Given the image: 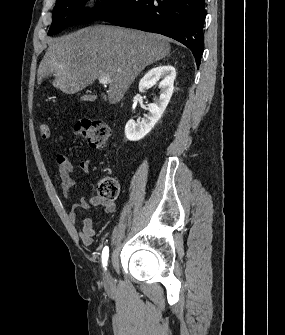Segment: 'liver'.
I'll return each mask as SVG.
<instances>
[{
	"label": "liver",
	"mask_w": 285,
	"mask_h": 335,
	"mask_svg": "<svg viewBox=\"0 0 285 335\" xmlns=\"http://www.w3.org/2000/svg\"><path fill=\"white\" fill-rule=\"evenodd\" d=\"M167 38L119 26H88L68 36L48 40L39 68L40 82L53 74L54 88L77 94L100 76H110L103 102L118 104L140 72L170 54Z\"/></svg>",
	"instance_id": "liver-1"
}]
</instances>
